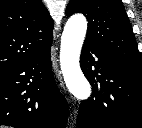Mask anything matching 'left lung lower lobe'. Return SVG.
<instances>
[{
	"mask_svg": "<svg viewBox=\"0 0 142 128\" xmlns=\"http://www.w3.org/2000/svg\"><path fill=\"white\" fill-rule=\"evenodd\" d=\"M81 69L92 96L80 104L79 128H142V67L117 61L84 42Z\"/></svg>",
	"mask_w": 142,
	"mask_h": 128,
	"instance_id": "obj_1",
	"label": "left lung lower lobe"
}]
</instances>
